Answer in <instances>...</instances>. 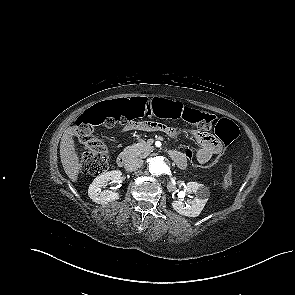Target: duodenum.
Segmentation results:
<instances>
[{
  "label": "duodenum",
  "instance_id": "410a0bca",
  "mask_svg": "<svg viewBox=\"0 0 295 295\" xmlns=\"http://www.w3.org/2000/svg\"><path fill=\"white\" fill-rule=\"evenodd\" d=\"M169 155L176 164L180 165L184 161L183 157L177 151H170ZM130 159H131V156L129 153L122 152L118 155L116 162L119 167H123L127 163H129Z\"/></svg>",
  "mask_w": 295,
  "mask_h": 295
}]
</instances>
